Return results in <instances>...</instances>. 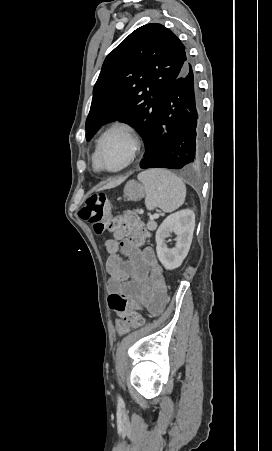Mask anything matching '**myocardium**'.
Listing matches in <instances>:
<instances>
[{
  "mask_svg": "<svg viewBox=\"0 0 272 451\" xmlns=\"http://www.w3.org/2000/svg\"><path fill=\"white\" fill-rule=\"evenodd\" d=\"M113 134L119 135L126 143L127 150H128V159H127L126 163L120 169L111 171V172L118 173V172L125 170L126 168H128L130 166V164L133 162V160L135 158L136 149H137V141H136V138L134 137L132 131L130 130V128L125 125H122V124L113 125L110 128H108L101 135V137L99 138V140L97 142L96 148H95L93 161H94L95 168L98 171H106V169H104L99 164V154H100L101 148H102L104 142L106 141V139ZM108 171H110V170H108Z\"/></svg>",
  "mask_w": 272,
  "mask_h": 451,
  "instance_id": "myocardium-1",
  "label": "myocardium"
}]
</instances>
